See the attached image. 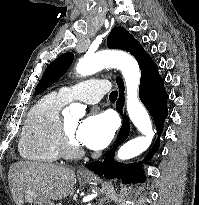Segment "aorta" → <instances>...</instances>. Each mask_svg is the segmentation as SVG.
<instances>
[{
	"mask_svg": "<svg viewBox=\"0 0 199 205\" xmlns=\"http://www.w3.org/2000/svg\"><path fill=\"white\" fill-rule=\"evenodd\" d=\"M108 67L121 70L126 85L128 115L133 124L143 134V136L134 138L119 148L117 158L126 160L140 155L150 146L154 131L149 114L138 97L141 74L136 59L131 55L123 51L110 50L99 51L95 54L87 53L80 58L76 72L81 76H87ZM69 110L73 115L84 114V108L78 103L71 104Z\"/></svg>",
	"mask_w": 199,
	"mask_h": 205,
	"instance_id": "aorta-1",
	"label": "aorta"
}]
</instances>
